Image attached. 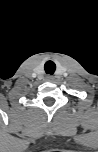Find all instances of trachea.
Wrapping results in <instances>:
<instances>
[{"label": "trachea", "instance_id": "trachea-1", "mask_svg": "<svg viewBox=\"0 0 98 152\" xmlns=\"http://www.w3.org/2000/svg\"><path fill=\"white\" fill-rule=\"evenodd\" d=\"M44 69L47 74L53 75L56 70V65L53 61H47L44 65Z\"/></svg>", "mask_w": 98, "mask_h": 152}]
</instances>
